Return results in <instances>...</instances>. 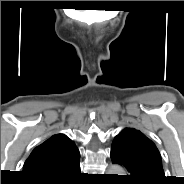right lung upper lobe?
<instances>
[{
    "label": "right lung upper lobe",
    "mask_w": 184,
    "mask_h": 184,
    "mask_svg": "<svg viewBox=\"0 0 184 184\" xmlns=\"http://www.w3.org/2000/svg\"><path fill=\"white\" fill-rule=\"evenodd\" d=\"M75 143L64 134L53 135L36 147L26 160L23 172L31 179H53L79 160Z\"/></svg>",
    "instance_id": "obj_1"
}]
</instances>
